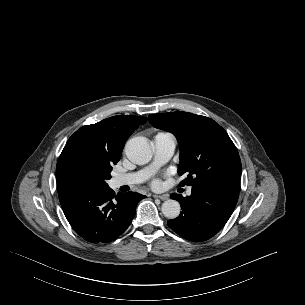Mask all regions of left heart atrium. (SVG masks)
I'll return each instance as SVG.
<instances>
[{
    "label": "left heart atrium",
    "mask_w": 305,
    "mask_h": 305,
    "mask_svg": "<svg viewBox=\"0 0 305 305\" xmlns=\"http://www.w3.org/2000/svg\"><path fill=\"white\" fill-rule=\"evenodd\" d=\"M159 184H160V183H159L158 180H156V181L153 182V185H154L155 187L159 186Z\"/></svg>",
    "instance_id": "left-heart-atrium-1"
}]
</instances>
